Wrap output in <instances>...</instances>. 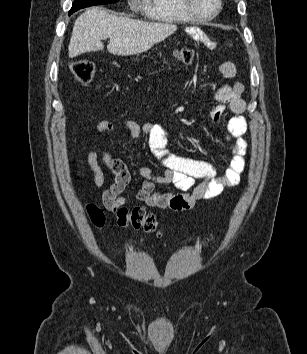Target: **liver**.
Wrapping results in <instances>:
<instances>
[{"instance_id": "1", "label": "liver", "mask_w": 307, "mask_h": 354, "mask_svg": "<svg viewBox=\"0 0 307 354\" xmlns=\"http://www.w3.org/2000/svg\"><path fill=\"white\" fill-rule=\"evenodd\" d=\"M177 26L117 17L108 10L90 8L75 21L68 47L69 57L101 51L102 40L110 38L107 50L118 56L134 55L149 50L169 37Z\"/></svg>"}]
</instances>
